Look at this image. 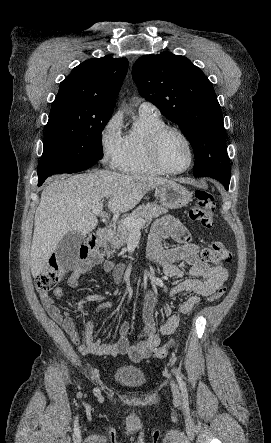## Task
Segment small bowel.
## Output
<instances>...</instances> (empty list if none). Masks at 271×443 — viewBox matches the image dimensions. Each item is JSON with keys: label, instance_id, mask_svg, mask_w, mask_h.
Masks as SVG:
<instances>
[{"label": "small bowel", "instance_id": "c3829d8e", "mask_svg": "<svg viewBox=\"0 0 271 443\" xmlns=\"http://www.w3.org/2000/svg\"><path fill=\"white\" fill-rule=\"evenodd\" d=\"M165 239H174L180 245L163 248L162 242ZM147 257L149 260L161 264L163 272L168 278H182L184 271L178 263H185L188 266L189 278L172 287L169 295L189 293V296L179 305L178 312H173L168 305L164 306L166 320L158 333L154 319L157 300L154 294L149 293L143 307V336L136 342L130 341L128 323L123 324L117 341L102 342L96 339L94 320L85 323L84 341H82L68 313L59 308L49 293H40L41 302L49 316L64 328L70 340L81 353L109 356L121 354L135 362L148 357L160 344V335L168 336L174 333L179 326L180 315L190 313L199 303L201 297L212 295L223 285L228 276L224 268L208 264L200 255V247L192 241L187 228L173 216H165L156 221L148 239ZM92 266V263H85L77 268L67 280V284L70 287H77L81 275L87 273ZM102 268L103 272L111 274L118 284L124 283L125 267L123 265L105 261ZM63 294L62 287H57L54 290L56 297H61ZM111 307L112 303L105 302L99 306L98 311Z\"/></svg>", "mask_w": 271, "mask_h": 443}]
</instances>
